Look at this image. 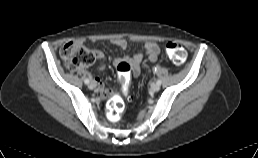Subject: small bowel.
Masks as SVG:
<instances>
[{
  "label": "small bowel",
  "instance_id": "small-bowel-1",
  "mask_svg": "<svg viewBox=\"0 0 258 158\" xmlns=\"http://www.w3.org/2000/svg\"><path fill=\"white\" fill-rule=\"evenodd\" d=\"M111 43L120 49L126 51L128 49V41L126 39L118 38L113 39ZM160 45L154 41H146L140 46V50L137 53L129 54L125 53L120 61H126L130 66L132 73L137 77L141 72V61L143 55H147L151 62L157 61L160 54ZM100 64L98 66V71L102 72L105 69V56L104 53L100 50H95L93 52ZM119 61V62H120ZM95 87H97V96L101 98H108L111 96V92L104 88V82L100 76L94 78Z\"/></svg>",
  "mask_w": 258,
  "mask_h": 158
}]
</instances>
